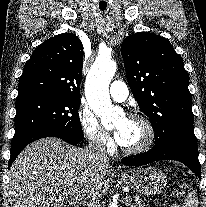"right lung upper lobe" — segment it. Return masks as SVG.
Listing matches in <instances>:
<instances>
[{
  "instance_id": "obj_1",
  "label": "right lung upper lobe",
  "mask_w": 206,
  "mask_h": 207,
  "mask_svg": "<svg viewBox=\"0 0 206 207\" xmlns=\"http://www.w3.org/2000/svg\"><path fill=\"white\" fill-rule=\"evenodd\" d=\"M83 46L75 34L44 41L26 62L16 100L35 95L80 98Z\"/></svg>"
}]
</instances>
